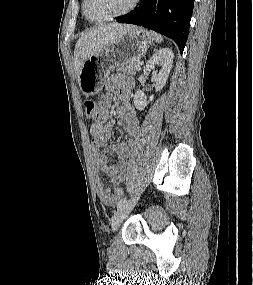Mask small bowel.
<instances>
[{"mask_svg":"<svg viewBox=\"0 0 253 285\" xmlns=\"http://www.w3.org/2000/svg\"><path fill=\"white\" fill-rule=\"evenodd\" d=\"M106 87L114 92L120 99L121 104L116 110L120 125L130 137H135L140 130V123L136 111L131 104L134 80L130 77L115 74L109 77ZM112 100L109 96H103L96 105L95 117L90 118L94 122L90 126L92 136V147L94 149L95 167L97 173H104L109 178L115 190L107 188L100 176H96L95 187L98 198L106 205L112 206L123 195L116 192L120 188L127 175V159L134 151L132 140H126L118 144H107L112 136L113 125L109 122V111ZM114 153L118 157V163L109 164L108 154Z\"/></svg>","mask_w":253,"mask_h":285,"instance_id":"1","label":"small bowel"}]
</instances>
